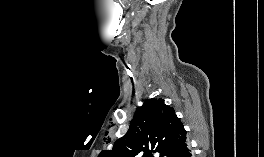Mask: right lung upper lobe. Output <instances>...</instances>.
Segmentation results:
<instances>
[{"label":"right lung upper lobe","instance_id":"obj_1","mask_svg":"<svg viewBox=\"0 0 264 157\" xmlns=\"http://www.w3.org/2000/svg\"><path fill=\"white\" fill-rule=\"evenodd\" d=\"M186 141V130L163 99H147L137 110L128 132L99 157H167Z\"/></svg>","mask_w":264,"mask_h":157}]
</instances>
